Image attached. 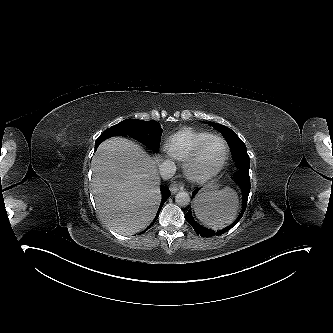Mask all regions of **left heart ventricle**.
I'll return each mask as SVG.
<instances>
[{
    "label": "left heart ventricle",
    "instance_id": "obj_1",
    "mask_svg": "<svg viewBox=\"0 0 333 333\" xmlns=\"http://www.w3.org/2000/svg\"><path fill=\"white\" fill-rule=\"evenodd\" d=\"M224 155V144L218 140H211L201 153L196 163V170L200 172H208L214 169L222 160Z\"/></svg>",
    "mask_w": 333,
    "mask_h": 333
}]
</instances>
